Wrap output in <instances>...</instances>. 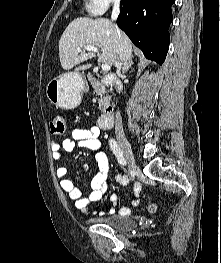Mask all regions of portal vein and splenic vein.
Segmentation results:
<instances>
[{
    "label": "portal vein and splenic vein",
    "mask_w": 221,
    "mask_h": 263,
    "mask_svg": "<svg viewBox=\"0 0 221 263\" xmlns=\"http://www.w3.org/2000/svg\"><path fill=\"white\" fill-rule=\"evenodd\" d=\"M83 50H86V51H92V52H95V53H99V50H98V48L97 47H95V46H85L84 48H83ZM102 70L103 71H105V72H107V71H109L110 69H111V66H110V64H108V63H103L102 64Z\"/></svg>",
    "instance_id": "18ae733b"
}]
</instances>
